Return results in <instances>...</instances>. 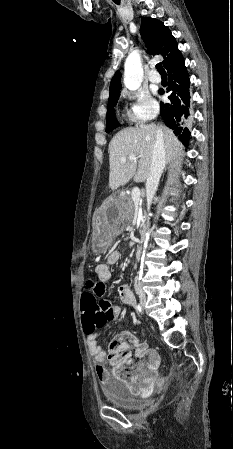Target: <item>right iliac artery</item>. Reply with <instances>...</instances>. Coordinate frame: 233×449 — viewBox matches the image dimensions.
<instances>
[{
	"instance_id": "right-iliac-artery-1",
	"label": "right iliac artery",
	"mask_w": 233,
	"mask_h": 449,
	"mask_svg": "<svg viewBox=\"0 0 233 449\" xmlns=\"http://www.w3.org/2000/svg\"><path fill=\"white\" fill-rule=\"evenodd\" d=\"M136 309L141 313L142 312V308L139 304L136 305Z\"/></svg>"
}]
</instances>
